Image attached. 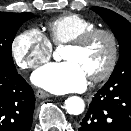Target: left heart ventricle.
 I'll return each mask as SVG.
<instances>
[{
    "mask_svg": "<svg viewBox=\"0 0 131 131\" xmlns=\"http://www.w3.org/2000/svg\"><path fill=\"white\" fill-rule=\"evenodd\" d=\"M110 57V44L106 37L98 36L85 48L66 47L62 58L65 61L76 62L89 77L103 70Z\"/></svg>",
    "mask_w": 131,
    "mask_h": 131,
    "instance_id": "obj_1",
    "label": "left heart ventricle"
}]
</instances>
